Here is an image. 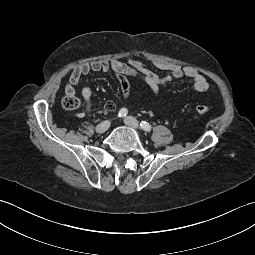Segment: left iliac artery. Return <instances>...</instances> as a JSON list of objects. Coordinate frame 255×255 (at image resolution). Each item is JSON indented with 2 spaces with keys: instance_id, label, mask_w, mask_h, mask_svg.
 Listing matches in <instances>:
<instances>
[{
  "instance_id": "44dca946",
  "label": "left iliac artery",
  "mask_w": 255,
  "mask_h": 255,
  "mask_svg": "<svg viewBox=\"0 0 255 255\" xmlns=\"http://www.w3.org/2000/svg\"><path fill=\"white\" fill-rule=\"evenodd\" d=\"M140 126L144 131H151V125L146 121H141Z\"/></svg>"
}]
</instances>
